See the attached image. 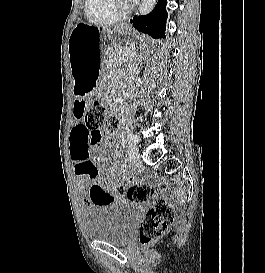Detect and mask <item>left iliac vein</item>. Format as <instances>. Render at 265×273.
<instances>
[{"mask_svg": "<svg viewBox=\"0 0 265 273\" xmlns=\"http://www.w3.org/2000/svg\"><path fill=\"white\" fill-rule=\"evenodd\" d=\"M138 137V135H137ZM140 140V138L138 137V141ZM128 155H129V159L133 162H137L140 158V155H139V151H138V147L136 145V142L134 141H131L129 143V146H128Z\"/></svg>", "mask_w": 265, "mask_h": 273, "instance_id": "left-iliac-vein-1", "label": "left iliac vein"}]
</instances>
